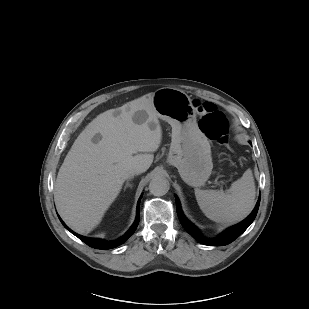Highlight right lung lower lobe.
<instances>
[{
    "mask_svg": "<svg viewBox=\"0 0 309 309\" xmlns=\"http://www.w3.org/2000/svg\"><path fill=\"white\" fill-rule=\"evenodd\" d=\"M139 203H140V199H139L138 204H137L136 220H135L134 224L132 225V227L121 238H119L118 240L112 241V242H107V241H104V240H101V239L87 238V237L78 235L75 232H73L71 229H69L63 223V221L60 218L59 219L62 222V224L65 226L66 229H68L72 234L77 236L80 240H82L84 243H86L90 247H93V248H96V249H112V248H115V247L123 244L136 230L138 223H139Z\"/></svg>",
    "mask_w": 309,
    "mask_h": 309,
    "instance_id": "obj_1",
    "label": "right lung lower lobe"
}]
</instances>
